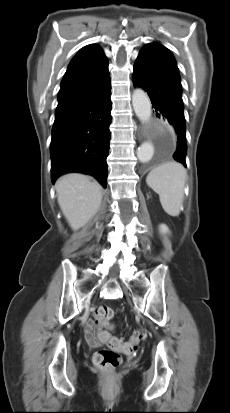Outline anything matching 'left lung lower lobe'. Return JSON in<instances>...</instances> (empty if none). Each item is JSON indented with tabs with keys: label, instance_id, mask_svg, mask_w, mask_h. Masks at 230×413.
<instances>
[{
	"label": "left lung lower lobe",
	"instance_id": "left-lung-lower-lobe-1",
	"mask_svg": "<svg viewBox=\"0 0 230 413\" xmlns=\"http://www.w3.org/2000/svg\"><path fill=\"white\" fill-rule=\"evenodd\" d=\"M132 80L148 93L156 115L166 118L174 127L177 147L173 157L186 166V126L177 65L157 48L145 46L134 64Z\"/></svg>",
	"mask_w": 230,
	"mask_h": 413
}]
</instances>
